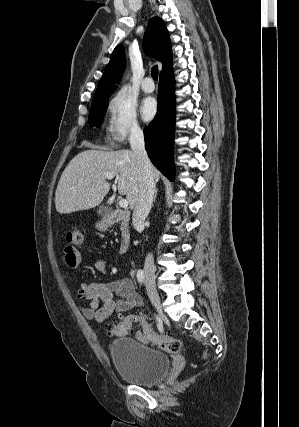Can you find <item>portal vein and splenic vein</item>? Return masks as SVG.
Listing matches in <instances>:
<instances>
[{"label": "portal vein and splenic vein", "instance_id": "18ae733b", "mask_svg": "<svg viewBox=\"0 0 299 427\" xmlns=\"http://www.w3.org/2000/svg\"><path fill=\"white\" fill-rule=\"evenodd\" d=\"M114 174H112V173H106L105 174V177L107 178V179H113L114 178ZM119 206L121 207V208H127L128 207V202H127V200L126 199H120V201H119Z\"/></svg>", "mask_w": 299, "mask_h": 427}]
</instances>
